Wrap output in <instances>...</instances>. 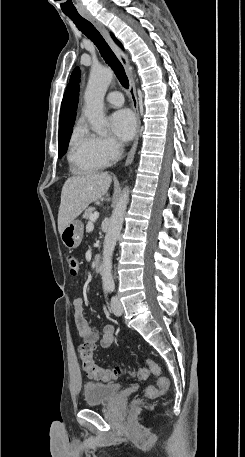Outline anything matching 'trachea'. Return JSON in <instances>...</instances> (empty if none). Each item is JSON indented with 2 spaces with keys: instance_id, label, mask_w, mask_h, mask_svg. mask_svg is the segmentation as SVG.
Here are the masks:
<instances>
[{
  "instance_id": "1",
  "label": "trachea",
  "mask_w": 245,
  "mask_h": 457,
  "mask_svg": "<svg viewBox=\"0 0 245 457\" xmlns=\"http://www.w3.org/2000/svg\"><path fill=\"white\" fill-rule=\"evenodd\" d=\"M69 17L78 30H80L86 37H88L98 48L101 56L105 62L112 68L119 82L124 88H129V80L118 58L114 55L108 43L105 42L102 35L86 18L81 17L79 13H65Z\"/></svg>"
}]
</instances>
